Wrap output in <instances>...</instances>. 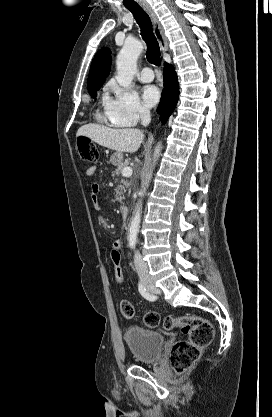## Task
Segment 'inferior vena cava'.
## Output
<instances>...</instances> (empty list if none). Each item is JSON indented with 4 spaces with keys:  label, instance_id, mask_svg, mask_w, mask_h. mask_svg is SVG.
<instances>
[{
    "label": "inferior vena cava",
    "instance_id": "1",
    "mask_svg": "<svg viewBox=\"0 0 272 417\" xmlns=\"http://www.w3.org/2000/svg\"><path fill=\"white\" fill-rule=\"evenodd\" d=\"M141 124L147 126L151 121L150 111L148 109H141L140 111ZM134 264L137 273L141 276L148 274L147 264L143 261L139 252L135 253Z\"/></svg>",
    "mask_w": 272,
    "mask_h": 417
}]
</instances>
